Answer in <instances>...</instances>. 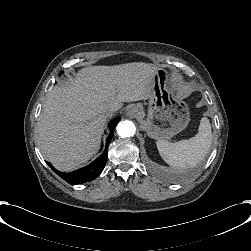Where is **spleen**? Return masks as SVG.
<instances>
[{"instance_id":"obj_1","label":"spleen","mask_w":251,"mask_h":251,"mask_svg":"<svg viewBox=\"0 0 251 251\" xmlns=\"http://www.w3.org/2000/svg\"><path fill=\"white\" fill-rule=\"evenodd\" d=\"M211 124L207 117H202L198 133L187 140L156 142L159 154L170 166L180 169L193 168L199 164L208 153L212 143Z\"/></svg>"}]
</instances>
